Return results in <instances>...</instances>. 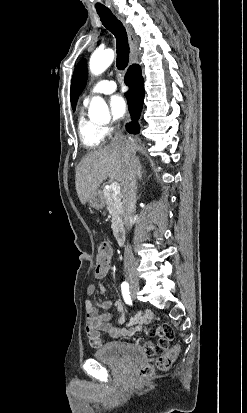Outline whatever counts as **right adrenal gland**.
<instances>
[{"mask_svg":"<svg viewBox=\"0 0 247 413\" xmlns=\"http://www.w3.org/2000/svg\"><path fill=\"white\" fill-rule=\"evenodd\" d=\"M139 178H142V170L139 172Z\"/></svg>","mask_w":247,"mask_h":413,"instance_id":"obj_1","label":"right adrenal gland"}]
</instances>
